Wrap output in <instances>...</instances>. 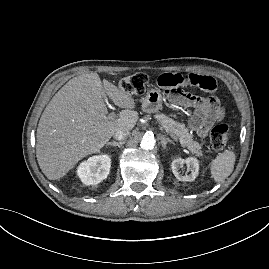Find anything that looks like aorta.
<instances>
[{"instance_id":"obj_1","label":"aorta","mask_w":269,"mask_h":269,"mask_svg":"<svg viewBox=\"0 0 269 269\" xmlns=\"http://www.w3.org/2000/svg\"><path fill=\"white\" fill-rule=\"evenodd\" d=\"M155 142L156 141H155L154 136L146 134L143 136L140 146L142 149L151 150L154 148Z\"/></svg>"}]
</instances>
